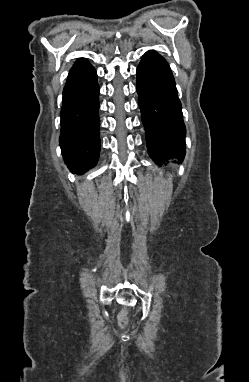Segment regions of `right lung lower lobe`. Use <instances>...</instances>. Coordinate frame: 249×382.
<instances>
[{
  "instance_id": "obj_1",
  "label": "right lung lower lobe",
  "mask_w": 249,
  "mask_h": 382,
  "mask_svg": "<svg viewBox=\"0 0 249 382\" xmlns=\"http://www.w3.org/2000/svg\"><path fill=\"white\" fill-rule=\"evenodd\" d=\"M97 73L84 59L69 72L61 109L60 146L65 163L72 173L83 174L99 158L100 121Z\"/></svg>"
}]
</instances>
